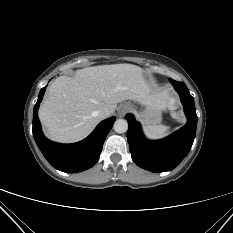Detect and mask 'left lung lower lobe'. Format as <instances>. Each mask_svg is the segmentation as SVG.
<instances>
[{
  "label": "left lung lower lobe",
  "instance_id": "1",
  "mask_svg": "<svg viewBox=\"0 0 233 233\" xmlns=\"http://www.w3.org/2000/svg\"><path fill=\"white\" fill-rule=\"evenodd\" d=\"M184 105L187 124L173 135L159 140L144 142L140 124L133 115L127 114L129 124L127 139L132 160L141 168L151 172H165L174 169L190 151L197 127L194 99L184 82L172 81Z\"/></svg>",
  "mask_w": 233,
  "mask_h": 233
}]
</instances>
